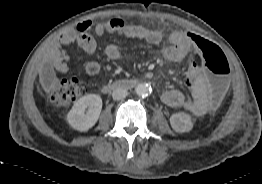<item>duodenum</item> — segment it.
Returning <instances> with one entry per match:
<instances>
[{"label": "duodenum", "instance_id": "1", "mask_svg": "<svg viewBox=\"0 0 262 184\" xmlns=\"http://www.w3.org/2000/svg\"><path fill=\"white\" fill-rule=\"evenodd\" d=\"M138 83L137 80H120L113 84H105L102 89L104 92H109L117 88H130L135 86Z\"/></svg>", "mask_w": 262, "mask_h": 184}]
</instances>
